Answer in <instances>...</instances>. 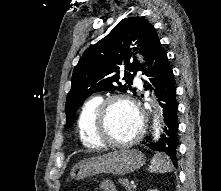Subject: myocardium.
<instances>
[{"label": "myocardium", "instance_id": "myocardium-1", "mask_svg": "<svg viewBox=\"0 0 221 191\" xmlns=\"http://www.w3.org/2000/svg\"><path fill=\"white\" fill-rule=\"evenodd\" d=\"M117 102H124L130 105L138 114L140 125L136 134L127 141H114L109 135L108 117L111 106ZM95 131L99 144L103 147L126 148L136 144L143 136L145 131V115L138 104L132 97L125 94L112 95L100 104L95 121Z\"/></svg>", "mask_w": 221, "mask_h": 191}]
</instances>
